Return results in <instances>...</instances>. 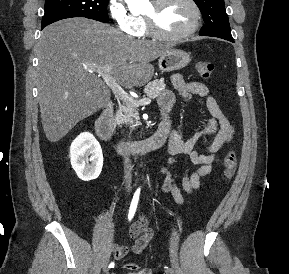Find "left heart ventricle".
I'll list each match as a JSON object with an SVG mask.
<instances>
[{
	"label": "left heart ventricle",
	"instance_id": "left-heart-ventricle-1",
	"mask_svg": "<svg viewBox=\"0 0 289 274\" xmlns=\"http://www.w3.org/2000/svg\"><path fill=\"white\" fill-rule=\"evenodd\" d=\"M152 3L145 13H152ZM160 29L166 33L178 34L187 30L193 23L194 13L186 0H169L156 14Z\"/></svg>",
	"mask_w": 289,
	"mask_h": 274
}]
</instances>
